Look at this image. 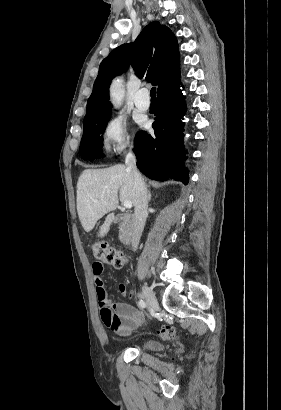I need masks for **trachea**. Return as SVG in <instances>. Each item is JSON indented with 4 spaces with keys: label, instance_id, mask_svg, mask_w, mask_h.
Here are the masks:
<instances>
[{
    "label": "trachea",
    "instance_id": "1",
    "mask_svg": "<svg viewBox=\"0 0 281 410\" xmlns=\"http://www.w3.org/2000/svg\"><path fill=\"white\" fill-rule=\"evenodd\" d=\"M150 96H151V99H156V88L155 87L151 88Z\"/></svg>",
    "mask_w": 281,
    "mask_h": 410
}]
</instances>
